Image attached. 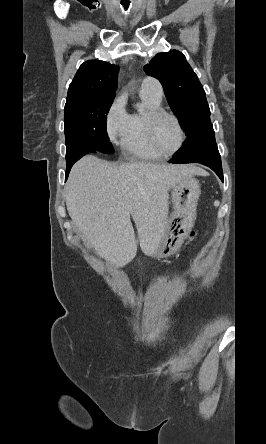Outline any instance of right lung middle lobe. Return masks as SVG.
I'll return each mask as SVG.
<instances>
[{
	"label": "right lung middle lobe",
	"instance_id": "right-lung-middle-lobe-1",
	"mask_svg": "<svg viewBox=\"0 0 266 444\" xmlns=\"http://www.w3.org/2000/svg\"><path fill=\"white\" fill-rule=\"evenodd\" d=\"M113 100L114 95L98 96L65 105L67 163L87 152H114L106 131V115Z\"/></svg>",
	"mask_w": 266,
	"mask_h": 444
}]
</instances>
